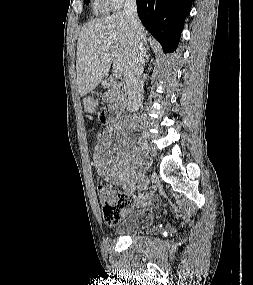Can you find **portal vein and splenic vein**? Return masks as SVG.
Segmentation results:
<instances>
[{"label":"portal vein and splenic vein","mask_w":253,"mask_h":285,"mask_svg":"<svg viewBox=\"0 0 253 285\" xmlns=\"http://www.w3.org/2000/svg\"><path fill=\"white\" fill-rule=\"evenodd\" d=\"M113 57V68L115 73H118L120 70V60L117 57V54L115 52L112 53Z\"/></svg>","instance_id":"portal-vein-and-splenic-vein-1"}]
</instances>
